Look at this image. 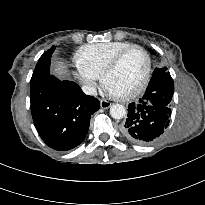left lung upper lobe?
I'll return each mask as SVG.
<instances>
[{
  "label": "left lung upper lobe",
  "mask_w": 205,
  "mask_h": 205,
  "mask_svg": "<svg viewBox=\"0 0 205 205\" xmlns=\"http://www.w3.org/2000/svg\"><path fill=\"white\" fill-rule=\"evenodd\" d=\"M150 52L154 54L152 50ZM154 92H160V94H153ZM173 92L174 82L167 68H156L146 89V93L142 98L149 99L157 97L162 101L167 100L166 103L170 104Z\"/></svg>",
  "instance_id": "obj_1"
}]
</instances>
